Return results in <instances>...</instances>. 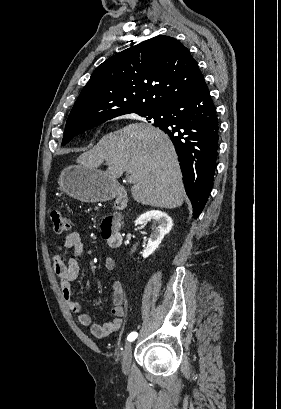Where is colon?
<instances>
[{
	"label": "colon",
	"instance_id": "5ec220e1",
	"mask_svg": "<svg viewBox=\"0 0 281 409\" xmlns=\"http://www.w3.org/2000/svg\"><path fill=\"white\" fill-rule=\"evenodd\" d=\"M51 220L57 234L67 233L72 226L70 216L62 210H52Z\"/></svg>",
	"mask_w": 281,
	"mask_h": 409
}]
</instances>
